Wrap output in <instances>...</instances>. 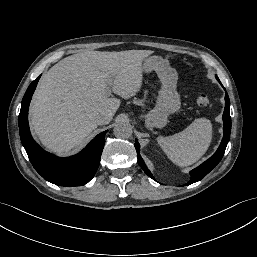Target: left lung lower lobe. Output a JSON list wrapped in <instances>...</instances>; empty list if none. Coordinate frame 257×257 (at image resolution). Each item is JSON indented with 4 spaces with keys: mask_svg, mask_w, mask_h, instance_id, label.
<instances>
[{
    "mask_svg": "<svg viewBox=\"0 0 257 257\" xmlns=\"http://www.w3.org/2000/svg\"><path fill=\"white\" fill-rule=\"evenodd\" d=\"M223 122H224V127H223L224 136H223L222 142H221L218 150L211 158H209L203 164H201L200 166H198L197 168H195L194 170H192L190 172L191 179L186 185L195 183V182L201 180L203 177H205L220 162V160L222 159V157L224 155L226 146H227L229 138H230V132H231L230 100H229L227 92L225 94V109H224V113H223ZM135 148L137 151V158H138L139 165L142 167V169L146 172V174L149 177L154 179L153 175L148 170V168L144 164L143 159L140 156V153H139L140 145L137 140H135Z\"/></svg>",
    "mask_w": 257,
    "mask_h": 257,
    "instance_id": "obj_1",
    "label": "left lung lower lobe"
}]
</instances>
